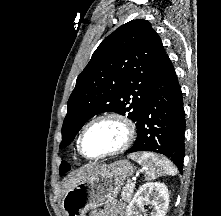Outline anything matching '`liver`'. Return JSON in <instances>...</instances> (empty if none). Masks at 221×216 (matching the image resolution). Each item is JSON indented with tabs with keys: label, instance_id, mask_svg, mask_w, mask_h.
<instances>
[{
	"label": "liver",
	"instance_id": "6515ba94",
	"mask_svg": "<svg viewBox=\"0 0 221 216\" xmlns=\"http://www.w3.org/2000/svg\"><path fill=\"white\" fill-rule=\"evenodd\" d=\"M97 167L98 165L96 164H90L76 170L68 179H65L64 181L65 191L66 192L69 191L72 187H74L77 183H79L82 179H84Z\"/></svg>",
	"mask_w": 221,
	"mask_h": 216
}]
</instances>
